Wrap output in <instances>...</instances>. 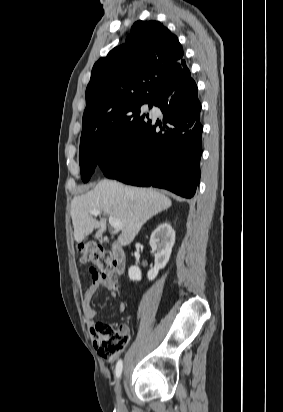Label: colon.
<instances>
[{"label": "colon", "instance_id": "obj_1", "mask_svg": "<svg viewBox=\"0 0 283 412\" xmlns=\"http://www.w3.org/2000/svg\"><path fill=\"white\" fill-rule=\"evenodd\" d=\"M81 261L91 265L90 273L100 279L116 282V266L113 258L103 247L89 244L80 248ZM99 353L105 358H113L129 342V335L122 327L119 329L106 322H98L93 327Z\"/></svg>", "mask_w": 283, "mask_h": 412}]
</instances>
